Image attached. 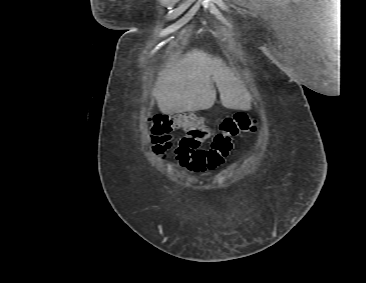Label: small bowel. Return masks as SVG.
I'll return each mask as SVG.
<instances>
[{
  "mask_svg": "<svg viewBox=\"0 0 366 283\" xmlns=\"http://www.w3.org/2000/svg\"><path fill=\"white\" fill-rule=\"evenodd\" d=\"M150 144H151V147H150L151 152L153 154L158 155V156H160V157H162L164 159L165 158V154L172 147V137L170 135H168V134L154 135V136H151L150 137ZM226 149H228V147H226ZM229 150L231 152L232 148H230ZM216 154H217L216 155V159H218L219 162L216 163L215 166H213V167H211L209 169H206V170H204L202 172L215 169L216 167H218L219 165H221L224 162L226 156L228 155V154H226L225 156L222 155L221 154V150L220 151H217Z\"/></svg>",
  "mask_w": 366,
  "mask_h": 283,
  "instance_id": "c3829d8e",
  "label": "small bowel"
}]
</instances>
